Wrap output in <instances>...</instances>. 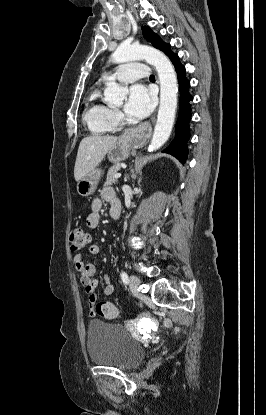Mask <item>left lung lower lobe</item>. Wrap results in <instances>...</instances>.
Returning a JSON list of instances; mask_svg holds the SVG:
<instances>
[{
  "mask_svg": "<svg viewBox=\"0 0 266 415\" xmlns=\"http://www.w3.org/2000/svg\"><path fill=\"white\" fill-rule=\"evenodd\" d=\"M178 76L180 102L179 115L175 124L176 134L169 146L163 151L176 157L184 163L187 159V141L190 138L189 124L191 121V101L193 97L189 93L190 82L186 78L185 66L181 64L179 56L173 54L170 57Z\"/></svg>",
  "mask_w": 266,
  "mask_h": 415,
  "instance_id": "left-lung-lower-lobe-1",
  "label": "left lung lower lobe"
}]
</instances>
